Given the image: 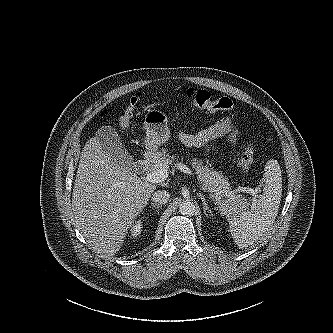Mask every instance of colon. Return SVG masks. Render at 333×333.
<instances>
[{
  "instance_id": "1",
  "label": "colon",
  "mask_w": 333,
  "mask_h": 333,
  "mask_svg": "<svg viewBox=\"0 0 333 333\" xmlns=\"http://www.w3.org/2000/svg\"><path fill=\"white\" fill-rule=\"evenodd\" d=\"M189 102L200 109L208 111H226L230 112L233 109L232 101L227 97H215L210 92L201 89L190 88L186 93ZM139 96L132 98L130 105L119 114V124L122 128L130 125L133 117V112ZM253 162V148L250 143L246 144L240 155V165L243 171L247 172Z\"/></svg>"
}]
</instances>
